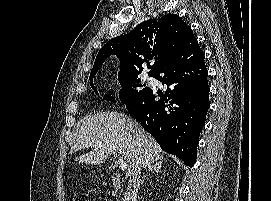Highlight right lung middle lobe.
<instances>
[{
  "label": "right lung middle lobe",
  "instance_id": "1",
  "mask_svg": "<svg viewBox=\"0 0 271 201\" xmlns=\"http://www.w3.org/2000/svg\"><path fill=\"white\" fill-rule=\"evenodd\" d=\"M94 76L95 75L90 76V81L93 80ZM149 76L153 77V75ZM119 82L122 86V89L119 91V98L124 104L150 90V88H148L145 84H140L138 75L119 74ZM91 87L96 94H98V91L93 83H91ZM104 99L116 102L115 99L109 94H105Z\"/></svg>",
  "mask_w": 271,
  "mask_h": 201
}]
</instances>
